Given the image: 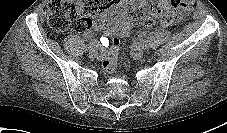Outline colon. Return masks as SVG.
Returning <instances> with one entry per match:
<instances>
[{
  "instance_id": "5ec220e1",
  "label": "colon",
  "mask_w": 227,
  "mask_h": 133,
  "mask_svg": "<svg viewBox=\"0 0 227 133\" xmlns=\"http://www.w3.org/2000/svg\"><path fill=\"white\" fill-rule=\"evenodd\" d=\"M118 3L119 0H50L47 8V20L49 25L58 32H64L69 28L84 32L92 28V16L103 17ZM168 5L174 16H185L193 12L196 1L168 0ZM128 12L134 23L145 25H150L166 17V13L156 2L151 3L148 11L139 4H132L129 6ZM119 48L120 41L113 39L103 63L104 68L109 72L115 68Z\"/></svg>"
}]
</instances>
